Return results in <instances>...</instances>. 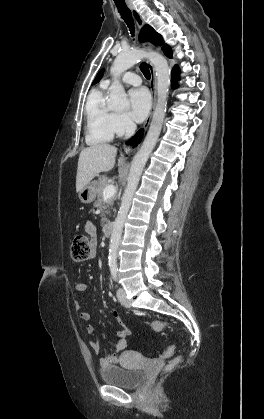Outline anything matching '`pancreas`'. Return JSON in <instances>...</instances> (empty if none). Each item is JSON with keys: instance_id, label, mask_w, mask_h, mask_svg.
Instances as JSON below:
<instances>
[{"instance_id": "obj_1", "label": "pancreas", "mask_w": 264, "mask_h": 419, "mask_svg": "<svg viewBox=\"0 0 264 419\" xmlns=\"http://www.w3.org/2000/svg\"><path fill=\"white\" fill-rule=\"evenodd\" d=\"M110 184L109 179L107 178V176L105 175H101L98 178V185H97V201L95 202V207L97 208H102L103 206V202H104V197H103V191L104 189ZM116 199V196H112L110 198H108L107 202H106V206L107 207H111L114 203ZM110 212L108 210L104 211L102 213V217H104L106 214H109ZM105 219L103 218V221Z\"/></svg>"}]
</instances>
